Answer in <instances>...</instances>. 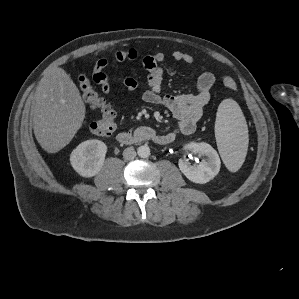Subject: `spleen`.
Here are the masks:
<instances>
[{
	"label": "spleen",
	"instance_id": "spleen-1",
	"mask_svg": "<svg viewBox=\"0 0 299 299\" xmlns=\"http://www.w3.org/2000/svg\"><path fill=\"white\" fill-rule=\"evenodd\" d=\"M215 137L224 164L236 172L247 153L248 129L242 110L233 99L223 100L218 107Z\"/></svg>",
	"mask_w": 299,
	"mask_h": 299
}]
</instances>
